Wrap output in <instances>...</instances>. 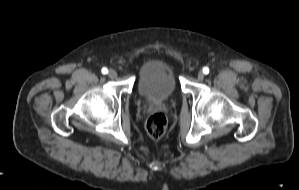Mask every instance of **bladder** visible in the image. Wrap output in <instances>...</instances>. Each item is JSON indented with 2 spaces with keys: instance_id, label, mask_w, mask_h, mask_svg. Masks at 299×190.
<instances>
[{
  "instance_id": "bladder-1",
  "label": "bladder",
  "mask_w": 299,
  "mask_h": 190,
  "mask_svg": "<svg viewBox=\"0 0 299 190\" xmlns=\"http://www.w3.org/2000/svg\"><path fill=\"white\" fill-rule=\"evenodd\" d=\"M139 96L152 101H163L172 97L179 89L174 64L162 57L148 59L135 80Z\"/></svg>"
}]
</instances>
